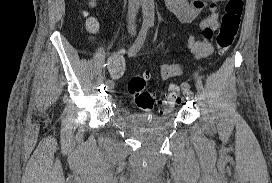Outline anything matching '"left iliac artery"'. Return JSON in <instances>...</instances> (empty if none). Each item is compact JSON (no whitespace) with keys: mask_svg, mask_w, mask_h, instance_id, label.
<instances>
[{"mask_svg":"<svg viewBox=\"0 0 272 183\" xmlns=\"http://www.w3.org/2000/svg\"><path fill=\"white\" fill-rule=\"evenodd\" d=\"M182 90L183 91H189L190 90V85L188 83H182L181 84Z\"/></svg>","mask_w":272,"mask_h":183,"instance_id":"left-iliac-artery-1","label":"left iliac artery"}]
</instances>
